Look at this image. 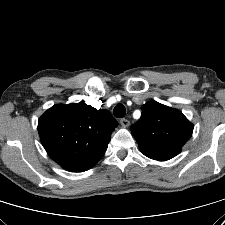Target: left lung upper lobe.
<instances>
[{"label":"left lung upper lobe","instance_id":"1","mask_svg":"<svg viewBox=\"0 0 225 225\" xmlns=\"http://www.w3.org/2000/svg\"><path fill=\"white\" fill-rule=\"evenodd\" d=\"M193 128L179 110L149 101L143 105L141 118L131 127V133L145 156L166 161L180 153Z\"/></svg>","mask_w":225,"mask_h":225}]
</instances>
